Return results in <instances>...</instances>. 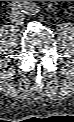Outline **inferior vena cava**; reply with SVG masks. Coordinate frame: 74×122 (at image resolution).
<instances>
[{
  "label": "inferior vena cava",
  "mask_w": 74,
  "mask_h": 122,
  "mask_svg": "<svg viewBox=\"0 0 74 122\" xmlns=\"http://www.w3.org/2000/svg\"><path fill=\"white\" fill-rule=\"evenodd\" d=\"M14 22H16L17 24L21 23L20 20H15V18L13 19Z\"/></svg>",
  "instance_id": "obj_1"
}]
</instances>
